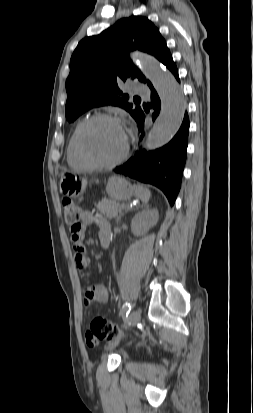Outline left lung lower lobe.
I'll list each match as a JSON object with an SVG mask.
<instances>
[{
    "label": "left lung lower lobe",
    "mask_w": 253,
    "mask_h": 413,
    "mask_svg": "<svg viewBox=\"0 0 253 413\" xmlns=\"http://www.w3.org/2000/svg\"><path fill=\"white\" fill-rule=\"evenodd\" d=\"M165 66L179 81L178 70L172 56L167 60ZM149 87L152 101L149 107L155 110L152 114V119L155 120L160 112L161 101L152 84ZM135 120L138 123L139 130L142 131L145 120L144 112L142 111ZM188 133L189 119L185 114L179 131L167 145L149 152L140 150L125 164L116 167L114 172L159 187L167 196L169 203L173 205L181 186L186 161Z\"/></svg>",
    "instance_id": "left-lung-lower-lobe-1"
}]
</instances>
